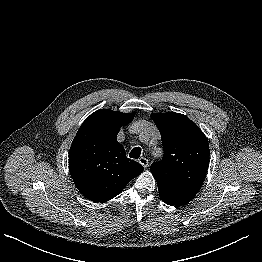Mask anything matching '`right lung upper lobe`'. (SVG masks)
<instances>
[{
  "instance_id": "cb5924a9",
  "label": "right lung upper lobe",
  "mask_w": 262,
  "mask_h": 262,
  "mask_svg": "<svg viewBox=\"0 0 262 262\" xmlns=\"http://www.w3.org/2000/svg\"><path fill=\"white\" fill-rule=\"evenodd\" d=\"M132 113L100 109L79 128L69 152V170L77 189L89 200L106 202L119 195L144 167L126 157L116 137Z\"/></svg>"
}]
</instances>
